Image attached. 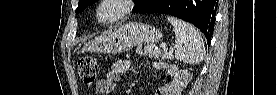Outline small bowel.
<instances>
[{"label":"small bowel","instance_id":"obj_1","mask_svg":"<svg viewBox=\"0 0 277 95\" xmlns=\"http://www.w3.org/2000/svg\"><path fill=\"white\" fill-rule=\"evenodd\" d=\"M159 66V63H155ZM131 68V61L127 59L116 60L110 71L107 72L105 78L101 79L96 85V92L99 94H113L116 88V82L119 80L120 76L128 72ZM156 95H170V90L168 87H160L157 89Z\"/></svg>","mask_w":277,"mask_h":95}]
</instances>
